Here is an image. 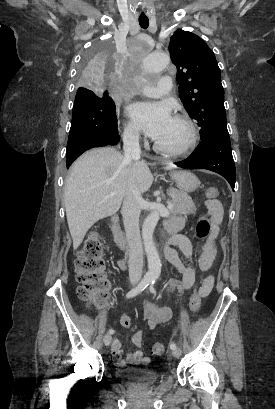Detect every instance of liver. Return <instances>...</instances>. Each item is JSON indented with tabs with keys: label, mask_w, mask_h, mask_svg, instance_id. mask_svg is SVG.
Returning <instances> with one entry per match:
<instances>
[{
	"label": "liver",
	"mask_w": 275,
	"mask_h": 409,
	"mask_svg": "<svg viewBox=\"0 0 275 409\" xmlns=\"http://www.w3.org/2000/svg\"><path fill=\"white\" fill-rule=\"evenodd\" d=\"M164 168L174 166L167 164ZM131 174L140 192L150 188L153 174L147 162L133 158L132 164H125L124 154L112 146L91 148L73 162L72 172L66 178L64 202L74 251L94 223L119 211Z\"/></svg>",
	"instance_id": "1"
}]
</instances>
